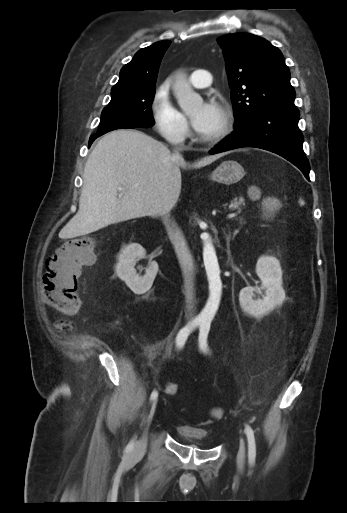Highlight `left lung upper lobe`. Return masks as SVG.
I'll return each mask as SVG.
<instances>
[{
    "label": "left lung upper lobe",
    "instance_id": "1",
    "mask_svg": "<svg viewBox=\"0 0 347 513\" xmlns=\"http://www.w3.org/2000/svg\"><path fill=\"white\" fill-rule=\"evenodd\" d=\"M223 49L235 124L272 108H296L290 71L281 51L264 38L234 33L218 38Z\"/></svg>",
    "mask_w": 347,
    "mask_h": 513
}]
</instances>
